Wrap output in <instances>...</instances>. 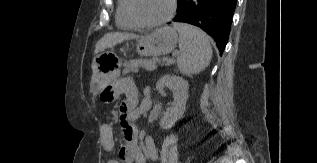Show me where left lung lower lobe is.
<instances>
[{"label":"left lung lower lobe","instance_id":"obj_1","mask_svg":"<svg viewBox=\"0 0 317 163\" xmlns=\"http://www.w3.org/2000/svg\"><path fill=\"white\" fill-rule=\"evenodd\" d=\"M237 0H178L175 22H186L202 28L216 41L223 53L229 37Z\"/></svg>","mask_w":317,"mask_h":163}]
</instances>
